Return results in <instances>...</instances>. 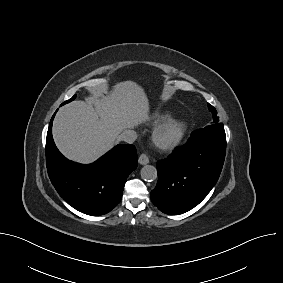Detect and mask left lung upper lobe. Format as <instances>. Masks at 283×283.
Masks as SVG:
<instances>
[{
	"label": "left lung upper lobe",
	"mask_w": 283,
	"mask_h": 283,
	"mask_svg": "<svg viewBox=\"0 0 283 283\" xmlns=\"http://www.w3.org/2000/svg\"><path fill=\"white\" fill-rule=\"evenodd\" d=\"M207 105H208L209 111L213 115V122H212V124L206 126L203 129L215 131V132H218V133H221V134H225L224 125H223V123L219 122L216 109L212 105H210L209 103H207Z\"/></svg>",
	"instance_id": "left-lung-upper-lobe-1"
}]
</instances>
